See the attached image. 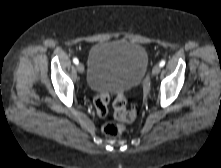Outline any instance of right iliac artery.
<instances>
[{
  "label": "right iliac artery",
  "instance_id": "obj_1",
  "mask_svg": "<svg viewBox=\"0 0 221 168\" xmlns=\"http://www.w3.org/2000/svg\"><path fill=\"white\" fill-rule=\"evenodd\" d=\"M73 62H74V64L77 65V64L79 63V60H78L77 58H74V59H73Z\"/></svg>",
  "mask_w": 221,
  "mask_h": 168
}]
</instances>
